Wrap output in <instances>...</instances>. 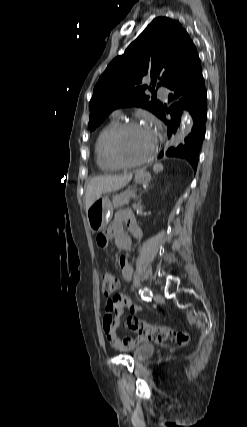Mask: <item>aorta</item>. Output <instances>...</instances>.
<instances>
[{
    "mask_svg": "<svg viewBox=\"0 0 247 427\" xmlns=\"http://www.w3.org/2000/svg\"><path fill=\"white\" fill-rule=\"evenodd\" d=\"M193 127V120L190 116L186 115L180 124V129L176 133L173 145L176 147L179 144L184 142V139L187 134H189Z\"/></svg>",
    "mask_w": 247,
    "mask_h": 427,
    "instance_id": "aorta-1",
    "label": "aorta"
}]
</instances>
